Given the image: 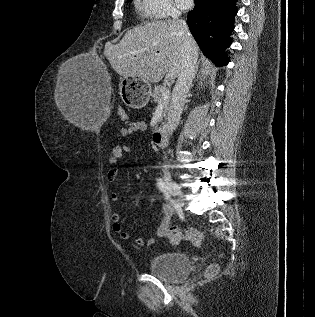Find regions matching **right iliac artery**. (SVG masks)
<instances>
[{
    "mask_svg": "<svg viewBox=\"0 0 315 317\" xmlns=\"http://www.w3.org/2000/svg\"><path fill=\"white\" fill-rule=\"evenodd\" d=\"M157 186L160 189V191L163 192V194L165 196V199L167 201H169L170 203H173L174 200L170 197V194H169V191H168V187H167L166 183L161 178H159L157 180Z\"/></svg>",
    "mask_w": 315,
    "mask_h": 317,
    "instance_id": "82829eb1",
    "label": "right iliac artery"
}]
</instances>
